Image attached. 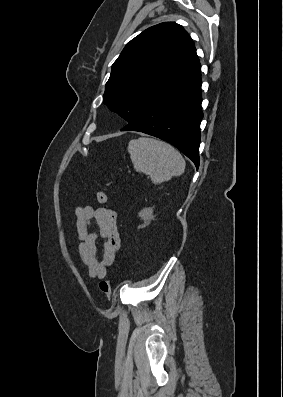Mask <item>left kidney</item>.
Returning a JSON list of instances; mask_svg holds the SVG:
<instances>
[{"label":"left kidney","instance_id":"1","mask_svg":"<svg viewBox=\"0 0 283 397\" xmlns=\"http://www.w3.org/2000/svg\"><path fill=\"white\" fill-rule=\"evenodd\" d=\"M138 216L143 220H149L153 217V208H144L138 213Z\"/></svg>","mask_w":283,"mask_h":397}]
</instances>
